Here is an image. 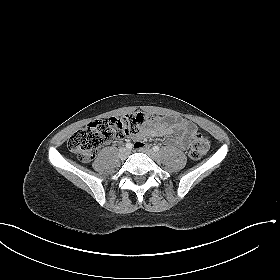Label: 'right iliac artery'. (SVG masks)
<instances>
[{"instance_id": "82829eb1", "label": "right iliac artery", "mask_w": 280, "mask_h": 280, "mask_svg": "<svg viewBox=\"0 0 280 280\" xmlns=\"http://www.w3.org/2000/svg\"><path fill=\"white\" fill-rule=\"evenodd\" d=\"M126 148H127V149H132V148H133V145H132L131 143H127V144H126Z\"/></svg>"}]
</instances>
